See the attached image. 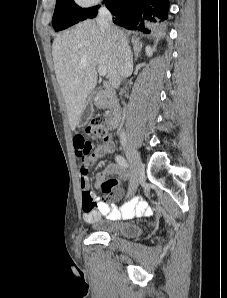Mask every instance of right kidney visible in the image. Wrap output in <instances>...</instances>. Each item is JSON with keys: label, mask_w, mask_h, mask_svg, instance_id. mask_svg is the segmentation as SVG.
Here are the masks:
<instances>
[{"label": "right kidney", "mask_w": 227, "mask_h": 298, "mask_svg": "<svg viewBox=\"0 0 227 298\" xmlns=\"http://www.w3.org/2000/svg\"><path fill=\"white\" fill-rule=\"evenodd\" d=\"M145 52H146V55H147L148 57H150V56L152 55L153 50L151 49L150 46H147V47L145 48Z\"/></svg>", "instance_id": "1"}]
</instances>
